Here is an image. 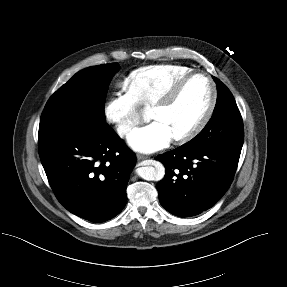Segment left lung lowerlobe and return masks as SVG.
<instances>
[{"label": "left lung lower lobe", "instance_id": "obj_1", "mask_svg": "<svg viewBox=\"0 0 287 287\" xmlns=\"http://www.w3.org/2000/svg\"><path fill=\"white\" fill-rule=\"evenodd\" d=\"M241 150L186 143L158 156L165 177L157 184L159 201L171 214L195 216L213 207L233 180Z\"/></svg>", "mask_w": 287, "mask_h": 287}]
</instances>
